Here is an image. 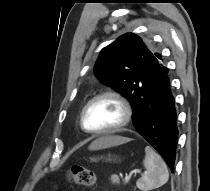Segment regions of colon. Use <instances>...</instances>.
<instances>
[{
  "mask_svg": "<svg viewBox=\"0 0 210 191\" xmlns=\"http://www.w3.org/2000/svg\"><path fill=\"white\" fill-rule=\"evenodd\" d=\"M67 178L71 182L85 186H93L96 181L94 172L80 165L72 166L67 173Z\"/></svg>",
  "mask_w": 210,
  "mask_h": 191,
  "instance_id": "obj_1",
  "label": "colon"
}]
</instances>
